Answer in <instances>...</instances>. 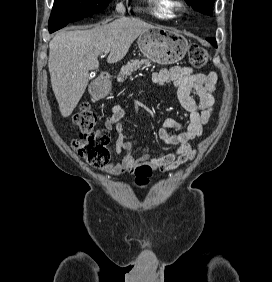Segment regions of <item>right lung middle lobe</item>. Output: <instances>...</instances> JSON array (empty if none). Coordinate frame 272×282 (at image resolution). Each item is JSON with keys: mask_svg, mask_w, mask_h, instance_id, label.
Masks as SVG:
<instances>
[{"mask_svg": "<svg viewBox=\"0 0 272 282\" xmlns=\"http://www.w3.org/2000/svg\"><path fill=\"white\" fill-rule=\"evenodd\" d=\"M111 0H55L49 25L104 10Z\"/></svg>", "mask_w": 272, "mask_h": 282, "instance_id": "obj_1", "label": "right lung middle lobe"}]
</instances>
